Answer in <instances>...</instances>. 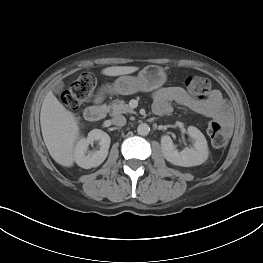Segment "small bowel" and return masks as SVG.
Returning a JSON list of instances; mask_svg holds the SVG:
<instances>
[{
	"instance_id": "c3829d8e",
	"label": "small bowel",
	"mask_w": 263,
	"mask_h": 263,
	"mask_svg": "<svg viewBox=\"0 0 263 263\" xmlns=\"http://www.w3.org/2000/svg\"><path fill=\"white\" fill-rule=\"evenodd\" d=\"M183 105L196 113L229 123V108L222 94L212 90L204 99L194 98L178 86L163 87L153 93V109L163 115L172 111V104Z\"/></svg>"
}]
</instances>
